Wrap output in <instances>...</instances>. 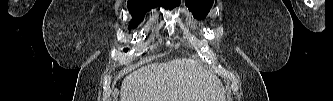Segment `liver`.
I'll return each instance as SVG.
<instances>
[{
	"instance_id": "liver-1",
	"label": "liver",
	"mask_w": 333,
	"mask_h": 101,
	"mask_svg": "<svg viewBox=\"0 0 333 101\" xmlns=\"http://www.w3.org/2000/svg\"><path fill=\"white\" fill-rule=\"evenodd\" d=\"M219 79L197 61L177 58L152 63L130 73L121 101H224Z\"/></svg>"
}]
</instances>
